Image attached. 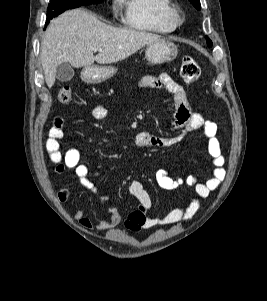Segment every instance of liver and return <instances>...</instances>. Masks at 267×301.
<instances>
[{
    "mask_svg": "<svg viewBox=\"0 0 267 301\" xmlns=\"http://www.w3.org/2000/svg\"><path fill=\"white\" fill-rule=\"evenodd\" d=\"M160 39L157 34L106 25L81 8L66 11L50 23L41 43L45 82L49 88L54 85L59 64L69 63L86 69L94 61L116 63ZM96 47L101 51L94 57Z\"/></svg>",
    "mask_w": 267,
    "mask_h": 301,
    "instance_id": "1",
    "label": "liver"
}]
</instances>
